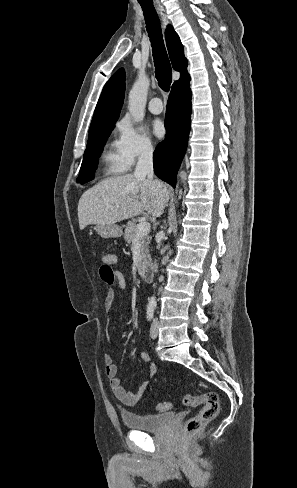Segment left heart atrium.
I'll return each mask as SVG.
<instances>
[{
    "mask_svg": "<svg viewBox=\"0 0 297 488\" xmlns=\"http://www.w3.org/2000/svg\"><path fill=\"white\" fill-rule=\"evenodd\" d=\"M152 131L157 138H163L166 134V128L162 121L156 120L152 124Z\"/></svg>",
    "mask_w": 297,
    "mask_h": 488,
    "instance_id": "left-heart-atrium-1",
    "label": "left heart atrium"
}]
</instances>
